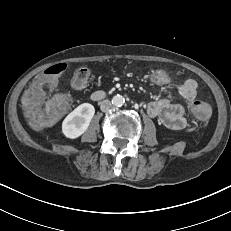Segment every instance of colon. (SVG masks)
<instances>
[{"label": "colon", "instance_id": "colon-1", "mask_svg": "<svg viewBox=\"0 0 231 231\" xmlns=\"http://www.w3.org/2000/svg\"><path fill=\"white\" fill-rule=\"evenodd\" d=\"M66 65L64 63L55 64L47 68L44 74H40L35 79V84L25 93L22 105L24 113L33 126H41L45 120L39 105L43 96V91H47L55 84V78L64 72ZM90 72L87 68L76 70L72 86L75 89H82L88 83ZM146 81L155 86H170L173 83L171 74L162 69L151 68L145 74ZM72 105V98L68 94L56 95L51 103L50 120H57L64 116ZM193 115L201 122L209 120L212 109L210 104L205 100H195L191 104Z\"/></svg>", "mask_w": 231, "mask_h": 231}]
</instances>
